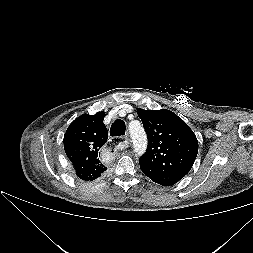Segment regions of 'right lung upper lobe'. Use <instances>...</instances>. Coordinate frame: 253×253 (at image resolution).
I'll return each mask as SVG.
<instances>
[{"instance_id": "1", "label": "right lung upper lobe", "mask_w": 253, "mask_h": 253, "mask_svg": "<svg viewBox=\"0 0 253 253\" xmlns=\"http://www.w3.org/2000/svg\"><path fill=\"white\" fill-rule=\"evenodd\" d=\"M104 117L103 111L95 115L83 114L69 125L64 135L66 155L83 181L97 180L107 170L99 160V149L108 139Z\"/></svg>"}]
</instances>
